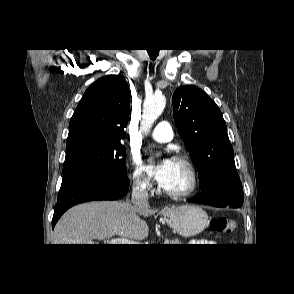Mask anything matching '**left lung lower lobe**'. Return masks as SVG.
Segmentation results:
<instances>
[{
	"mask_svg": "<svg viewBox=\"0 0 294 294\" xmlns=\"http://www.w3.org/2000/svg\"><path fill=\"white\" fill-rule=\"evenodd\" d=\"M190 202H198L204 204H210L216 207L239 208L244 201V193L242 186L238 187H224L208 195H198Z\"/></svg>",
	"mask_w": 294,
	"mask_h": 294,
	"instance_id": "left-lung-lower-lobe-1",
	"label": "left lung lower lobe"
}]
</instances>
